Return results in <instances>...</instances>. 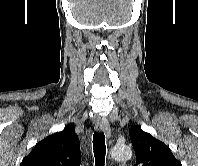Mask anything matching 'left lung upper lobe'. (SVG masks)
I'll use <instances>...</instances> for the list:
<instances>
[{
	"mask_svg": "<svg viewBox=\"0 0 198 166\" xmlns=\"http://www.w3.org/2000/svg\"><path fill=\"white\" fill-rule=\"evenodd\" d=\"M131 143L135 150L138 166H182L175 159L171 150L151 134L144 132L140 126H132L129 130Z\"/></svg>",
	"mask_w": 198,
	"mask_h": 166,
	"instance_id": "1",
	"label": "left lung upper lobe"
}]
</instances>
